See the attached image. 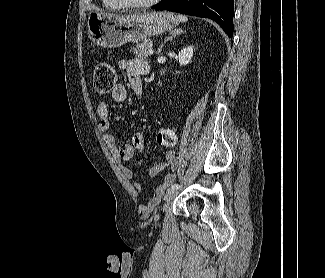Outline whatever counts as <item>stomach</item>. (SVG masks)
I'll return each mask as SVG.
<instances>
[{"label": "stomach", "instance_id": "0dacf381", "mask_svg": "<svg viewBox=\"0 0 325 278\" xmlns=\"http://www.w3.org/2000/svg\"><path fill=\"white\" fill-rule=\"evenodd\" d=\"M178 19L167 12H144L127 16H112L92 12L88 17V36L93 44L115 48L127 42L138 43L150 36L169 31Z\"/></svg>", "mask_w": 325, "mask_h": 278}]
</instances>
